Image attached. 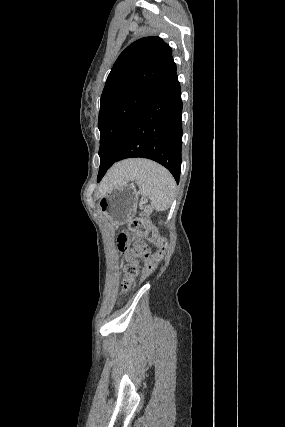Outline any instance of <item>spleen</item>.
Segmentation results:
<instances>
[{"label":"spleen","mask_w":285,"mask_h":427,"mask_svg":"<svg viewBox=\"0 0 285 427\" xmlns=\"http://www.w3.org/2000/svg\"><path fill=\"white\" fill-rule=\"evenodd\" d=\"M131 180H135L141 195L150 197L151 206L156 211L169 208L175 196L176 182L167 169L155 162L142 160Z\"/></svg>","instance_id":"spleen-1"}]
</instances>
